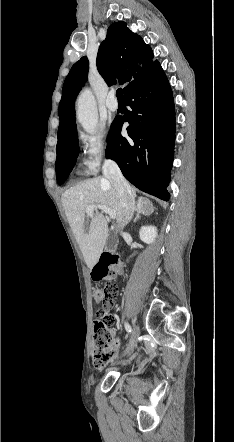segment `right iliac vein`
Here are the masks:
<instances>
[{"mask_svg": "<svg viewBox=\"0 0 234 442\" xmlns=\"http://www.w3.org/2000/svg\"><path fill=\"white\" fill-rule=\"evenodd\" d=\"M138 336H139V327L135 326L133 329L130 341H129L127 348L124 352V355L129 354L135 348V346L137 345Z\"/></svg>", "mask_w": 234, "mask_h": 442, "instance_id": "right-iliac-vein-1", "label": "right iliac vein"}]
</instances>
